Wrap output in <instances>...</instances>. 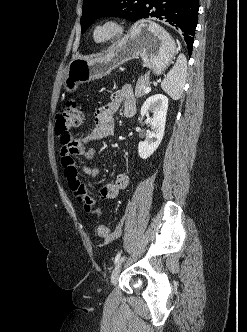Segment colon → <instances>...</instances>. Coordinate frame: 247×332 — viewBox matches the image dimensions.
Instances as JSON below:
<instances>
[{"label": "colon", "mask_w": 247, "mask_h": 332, "mask_svg": "<svg viewBox=\"0 0 247 332\" xmlns=\"http://www.w3.org/2000/svg\"><path fill=\"white\" fill-rule=\"evenodd\" d=\"M82 117V111L77 102L74 100H69L66 103L65 109L57 114L55 132L62 144H74L72 130L80 125ZM95 233L100 238H112L111 228L108 224L105 223L97 224L95 227Z\"/></svg>", "instance_id": "colon-1"}]
</instances>
